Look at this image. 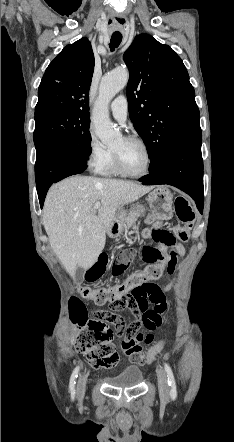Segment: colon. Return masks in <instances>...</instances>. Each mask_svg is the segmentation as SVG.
<instances>
[{"instance_id":"1","label":"colon","mask_w":234,"mask_h":442,"mask_svg":"<svg viewBox=\"0 0 234 442\" xmlns=\"http://www.w3.org/2000/svg\"><path fill=\"white\" fill-rule=\"evenodd\" d=\"M174 208L179 221L174 233L151 229L152 238L157 242L158 248L144 245L139 250L142 259L148 263L147 267L132 274L126 283L123 282L112 287H83L80 289L81 296L97 304L109 303L114 310L129 309L136 317L139 314H163L167 306L165 296L157 287L147 281L158 279L163 274L165 268L158 262L162 255L161 250L172 247L177 240L187 241L195 220V213L185 197L177 196ZM132 259L133 255L130 252L118 255L111 264V275L114 277L121 275L130 266ZM106 266L107 258L102 254L87 271L86 279L88 281L98 280L104 275ZM129 285L136 286L128 290L127 286ZM149 304H152L153 307L149 308ZM71 317L76 329L73 338L75 349L83 353L88 362L96 368H111L115 365L118 357L111 343V330L97 331L95 328L88 327L89 319L80 298L75 297L71 300ZM117 335L119 336V333ZM163 346L164 343L160 340H157L155 345H149L144 360L145 366H150L151 362L155 361V356H159L160 352L164 350Z\"/></svg>"}]
</instances>
